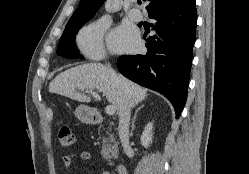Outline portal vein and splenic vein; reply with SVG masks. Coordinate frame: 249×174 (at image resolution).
<instances>
[{"mask_svg":"<svg viewBox=\"0 0 249 174\" xmlns=\"http://www.w3.org/2000/svg\"><path fill=\"white\" fill-rule=\"evenodd\" d=\"M86 93H89L91 94L94 98H96L97 100H100V96L96 93V92H93V91H86ZM105 111L108 115H114L115 114V108L113 105H108L106 108H105Z\"/></svg>","mask_w":249,"mask_h":174,"instance_id":"18ae733b","label":"portal vein and splenic vein"}]
</instances>
